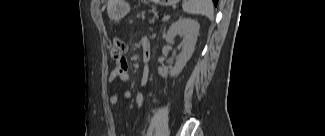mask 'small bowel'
<instances>
[{
    "label": "small bowel",
    "mask_w": 325,
    "mask_h": 136,
    "mask_svg": "<svg viewBox=\"0 0 325 136\" xmlns=\"http://www.w3.org/2000/svg\"><path fill=\"white\" fill-rule=\"evenodd\" d=\"M144 42L149 46V41L147 38L144 39ZM129 78L130 77L128 73V62L126 59L118 61L115 68L112 69L108 74L109 82H114L115 80H118L122 83H126L129 81ZM147 81H148V70L145 69L141 79L142 85H146ZM121 96L124 100H130L132 98V93L126 90L122 93ZM119 99H120V94L114 91L109 96V103L111 105H116L119 102ZM135 104L138 107H142L145 104V98L143 94L139 93L136 95Z\"/></svg>",
    "instance_id": "small-bowel-1"
}]
</instances>
